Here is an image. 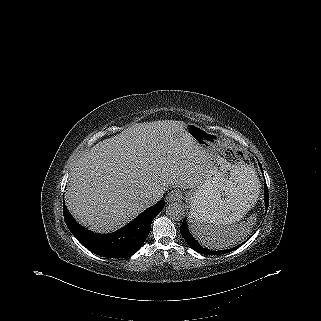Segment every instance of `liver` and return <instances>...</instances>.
<instances>
[{
    "label": "liver",
    "instance_id": "liver-1",
    "mask_svg": "<svg viewBox=\"0 0 321 321\" xmlns=\"http://www.w3.org/2000/svg\"><path fill=\"white\" fill-rule=\"evenodd\" d=\"M183 121L137 123L84 153L70 173L66 205L90 230L116 231L169 186L195 188L207 172L206 152ZM177 147V154L168 148Z\"/></svg>",
    "mask_w": 321,
    "mask_h": 321
}]
</instances>
